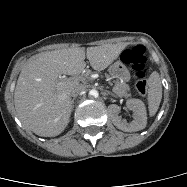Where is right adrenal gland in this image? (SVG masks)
Listing matches in <instances>:
<instances>
[{"mask_svg":"<svg viewBox=\"0 0 187 187\" xmlns=\"http://www.w3.org/2000/svg\"><path fill=\"white\" fill-rule=\"evenodd\" d=\"M72 109L74 108V99H72Z\"/></svg>","mask_w":187,"mask_h":187,"instance_id":"1","label":"right adrenal gland"}]
</instances>
